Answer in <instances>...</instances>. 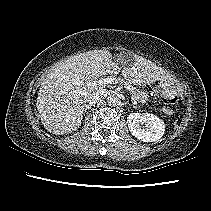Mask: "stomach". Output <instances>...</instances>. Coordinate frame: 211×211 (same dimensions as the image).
Returning <instances> with one entry per match:
<instances>
[{
	"label": "stomach",
	"mask_w": 211,
	"mask_h": 211,
	"mask_svg": "<svg viewBox=\"0 0 211 211\" xmlns=\"http://www.w3.org/2000/svg\"><path fill=\"white\" fill-rule=\"evenodd\" d=\"M127 58L126 56H121L118 60L119 61H125ZM133 67H135V65L133 64ZM130 83L136 84V85H142L145 86L143 83H138L134 80H131ZM158 89L160 92L162 93H169V92H173L175 90V86H174V81L172 78L169 79H165V80H161L159 85H158Z\"/></svg>",
	"instance_id": "obj_1"
}]
</instances>
